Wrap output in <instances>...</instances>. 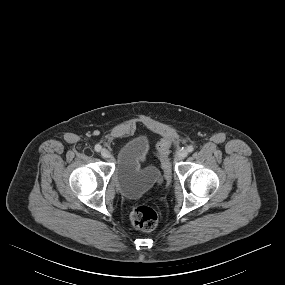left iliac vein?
<instances>
[{
  "label": "left iliac vein",
  "instance_id": "1",
  "mask_svg": "<svg viewBox=\"0 0 285 285\" xmlns=\"http://www.w3.org/2000/svg\"><path fill=\"white\" fill-rule=\"evenodd\" d=\"M187 155H188L187 150H186V149H182V150H179V151H178V153H177V158H178L179 160H182V159L186 158Z\"/></svg>",
  "mask_w": 285,
  "mask_h": 285
}]
</instances>
